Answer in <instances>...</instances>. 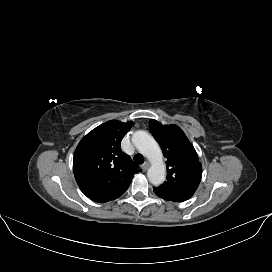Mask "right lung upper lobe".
<instances>
[{"label":"right lung upper lobe","instance_id":"right-lung-upper-lobe-1","mask_svg":"<svg viewBox=\"0 0 272 272\" xmlns=\"http://www.w3.org/2000/svg\"><path fill=\"white\" fill-rule=\"evenodd\" d=\"M132 125L131 121H107L78 144L73 172L78 186L89 199L105 203L120 197L138 172L137 166L120 147Z\"/></svg>","mask_w":272,"mask_h":272}]
</instances>
